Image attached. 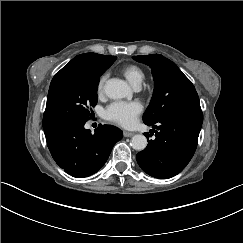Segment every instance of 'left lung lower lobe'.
I'll use <instances>...</instances> for the list:
<instances>
[{
    "label": "left lung lower lobe",
    "instance_id": "1",
    "mask_svg": "<svg viewBox=\"0 0 243 243\" xmlns=\"http://www.w3.org/2000/svg\"><path fill=\"white\" fill-rule=\"evenodd\" d=\"M202 122L201 110L179 109L148 125L158 132L154 130L155 140L136 155L141 169L161 179L180 173L195 153Z\"/></svg>",
    "mask_w": 243,
    "mask_h": 243
}]
</instances>
